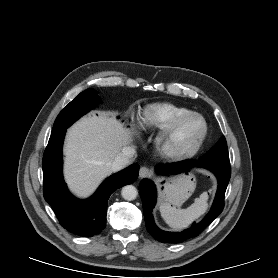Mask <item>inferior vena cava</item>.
<instances>
[{
  "label": "inferior vena cava",
  "mask_w": 278,
  "mask_h": 278,
  "mask_svg": "<svg viewBox=\"0 0 278 278\" xmlns=\"http://www.w3.org/2000/svg\"><path fill=\"white\" fill-rule=\"evenodd\" d=\"M135 154V149L133 147H124L122 152L119 153L115 159L111 162V169L113 171H118L128 165L131 158Z\"/></svg>",
  "instance_id": "1"
}]
</instances>
